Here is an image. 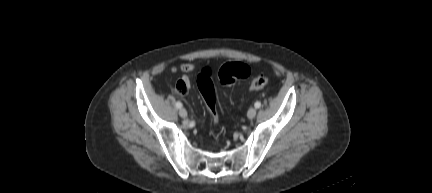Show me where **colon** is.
<instances>
[{
    "label": "colon",
    "mask_w": 432,
    "mask_h": 193,
    "mask_svg": "<svg viewBox=\"0 0 432 193\" xmlns=\"http://www.w3.org/2000/svg\"><path fill=\"white\" fill-rule=\"evenodd\" d=\"M250 68L242 62H229L224 64L217 73V78L224 85H231L240 79L248 77ZM211 70L204 68L197 79L198 88L205 100L206 106L214 124L219 122V114L216 103L214 85L211 77ZM268 83L265 75H258L252 78L250 90L256 91L263 89Z\"/></svg>",
    "instance_id": "obj_1"
}]
</instances>
